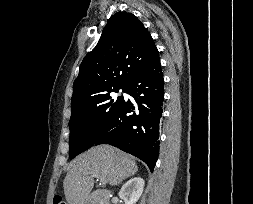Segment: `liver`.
I'll list each match as a JSON object with an SVG mask.
<instances>
[{
  "mask_svg": "<svg viewBox=\"0 0 253 204\" xmlns=\"http://www.w3.org/2000/svg\"><path fill=\"white\" fill-rule=\"evenodd\" d=\"M138 171L133 157L109 146L92 147L71 163L63 188L68 204H85L94 186L92 173L115 186Z\"/></svg>",
  "mask_w": 253,
  "mask_h": 204,
  "instance_id": "obj_1",
  "label": "liver"
}]
</instances>
